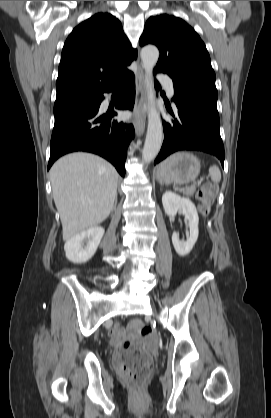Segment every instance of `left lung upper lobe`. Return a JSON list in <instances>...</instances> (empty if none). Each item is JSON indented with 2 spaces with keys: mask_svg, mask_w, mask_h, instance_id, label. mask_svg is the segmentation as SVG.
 Returning a JSON list of instances; mask_svg holds the SVG:
<instances>
[{
  "mask_svg": "<svg viewBox=\"0 0 271 418\" xmlns=\"http://www.w3.org/2000/svg\"><path fill=\"white\" fill-rule=\"evenodd\" d=\"M141 46L155 44L160 57L155 70L167 73L176 84L194 86L218 95L215 73L205 44L180 18L161 14L150 17L140 37Z\"/></svg>",
  "mask_w": 271,
  "mask_h": 418,
  "instance_id": "1",
  "label": "left lung upper lobe"
}]
</instances>
